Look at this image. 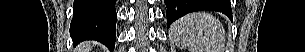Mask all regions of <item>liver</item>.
<instances>
[{
    "mask_svg": "<svg viewBox=\"0 0 305 52\" xmlns=\"http://www.w3.org/2000/svg\"><path fill=\"white\" fill-rule=\"evenodd\" d=\"M83 47H84V50H90L91 49V44L90 43H85L83 45ZM86 52H88V51H86Z\"/></svg>",
    "mask_w": 305,
    "mask_h": 52,
    "instance_id": "obj_1",
    "label": "liver"
}]
</instances>
